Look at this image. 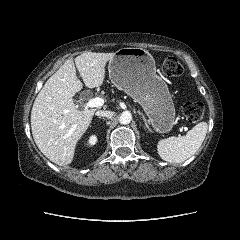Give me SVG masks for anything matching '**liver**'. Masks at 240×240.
<instances>
[{"label":"liver","mask_w":240,"mask_h":240,"mask_svg":"<svg viewBox=\"0 0 240 240\" xmlns=\"http://www.w3.org/2000/svg\"><path fill=\"white\" fill-rule=\"evenodd\" d=\"M115 53L84 52L65 63L47 80L37 95L31 111V129L39 150L53 163L66 166L74 158L75 147L88 129L96 109H78L73 96L83 84L100 87L105 66Z\"/></svg>","instance_id":"liver-1"}]
</instances>
